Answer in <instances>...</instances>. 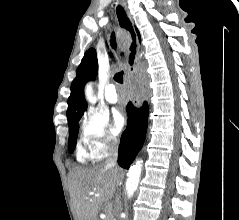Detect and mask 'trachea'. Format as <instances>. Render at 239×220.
Masks as SVG:
<instances>
[{
    "instance_id": "3493384b",
    "label": "trachea",
    "mask_w": 239,
    "mask_h": 220,
    "mask_svg": "<svg viewBox=\"0 0 239 220\" xmlns=\"http://www.w3.org/2000/svg\"><path fill=\"white\" fill-rule=\"evenodd\" d=\"M111 47L116 49V41H115V34L112 33L111 40H110ZM114 80L118 83H123V72H118L114 75Z\"/></svg>"
}]
</instances>
